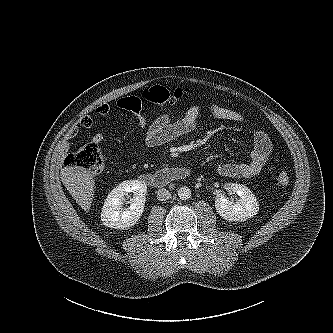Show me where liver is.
<instances>
[{
    "label": "liver",
    "instance_id": "1",
    "mask_svg": "<svg viewBox=\"0 0 333 333\" xmlns=\"http://www.w3.org/2000/svg\"><path fill=\"white\" fill-rule=\"evenodd\" d=\"M60 178L76 203L88 211L94 198V176L83 167L66 166L61 169Z\"/></svg>",
    "mask_w": 333,
    "mask_h": 333
}]
</instances>
